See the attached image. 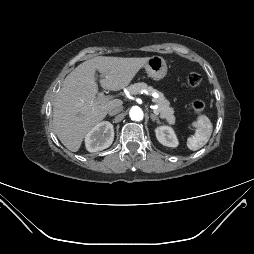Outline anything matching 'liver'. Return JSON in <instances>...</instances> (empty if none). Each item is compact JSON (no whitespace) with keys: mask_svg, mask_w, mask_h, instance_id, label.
<instances>
[{"mask_svg":"<svg viewBox=\"0 0 254 254\" xmlns=\"http://www.w3.org/2000/svg\"><path fill=\"white\" fill-rule=\"evenodd\" d=\"M150 57L123 58L97 56L78 65L65 78L53 105V127L61 143L70 151L79 150L85 135L120 99L98 103L96 70L104 89L118 91L130 84Z\"/></svg>","mask_w":254,"mask_h":254,"instance_id":"obj_1","label":"liver"}]
</instances>
